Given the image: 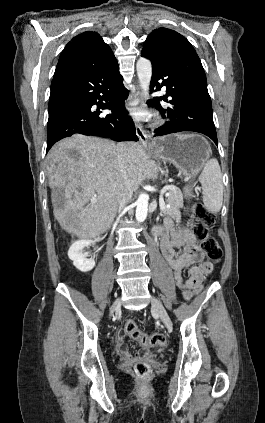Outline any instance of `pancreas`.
Wrapping results in <instances>:
<instances>
[{"mask_svg":"<svg viewBox=\"0 0 265 423\" xmlns=\"http://www.w3.org/2000/svg\"><path fill=\"white\" fill-rule=\"evenodd\" d=\"M166 204L169 205V207L165 208L164 210H161V213L164 215H168L172 217L175 220H180L181 218V212L180 208L183 206V195L180 190H169L168 196L166 199Z\"/></svg>","mask_w":265,"mask_h":423,"instance_id":"1","label":"pancreas"}]
</instances>
